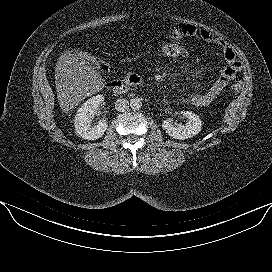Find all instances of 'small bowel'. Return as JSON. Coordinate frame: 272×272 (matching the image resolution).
Returning <instances> with one entry per match:
<instances>
[{
  "instance_id": "small-bowel-1",
  "label": "small bowel",
  "mask_w": 272,
  "mask_h": 272,
  "mask_svg": "<svg viewBox=\"0 0 272 272\" xmlns=\"http://www.w3.org/2000/svg\"><path fill=\"white\" fill-rule=\"evenodd\" d=\"M171 39L180 40L184 37H192L203 40L217 46L225 60V66L220 70L219 76L211 86L202 93H195L183 98L185 104L203 108L210 105L225 89V87L235 78L240 71L241 65L235 52L220 37L194 25L176 23L170 29Z\"/></svg>"
}]
</instances>
